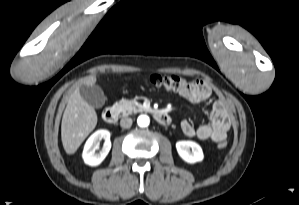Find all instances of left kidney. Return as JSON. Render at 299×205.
I'll list each match as a JSON object with an SVG mask.
<instances>
[{
  "mask_svg": "<svg viewBox=\"0 0 299 205\" xmlns=\"http://www.w3.org/2000/svg\"><path fill=\"white\" fill-rule=\"evenodd\" d=\"M176 149L179 156L190 164L200 162L204 158L202 148L194 141H178Z\"/></svg>",
  "mask_w": 299,
  "mask_h": 205,
  "instance_id": "1",
  "label": "left kidney"
}]
</instances>
